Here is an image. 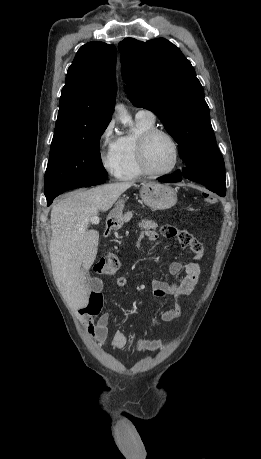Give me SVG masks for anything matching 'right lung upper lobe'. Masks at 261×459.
I'll return each instance as SVG.
<instances>
[{"label":"right lung upper lobe","instance_id":"cb5924a9","mask_svg":"<svg viewBox=\"0 0 261 459\" xmlns=\"http://www.w3.org/2000/svg\"><path fill=\"white\" fill-rule=\"evenodd\" d=\"M116 59V47L103 42H89L78 50L62 88L53 138L110 122L116 98Z\"/></svg>","mask_w":261,"mask_h":459}]
</instances>
